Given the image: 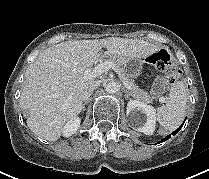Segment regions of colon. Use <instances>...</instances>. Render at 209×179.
<instances>
[{"mask_svg":"<svg viewBox=\"0 0 209 179\" xmlns=\"http://www.w3.org/2000/svg\"><path fill=\"white\" fill-rule=\"evenodd\" d=\"M147 61L153 65H155L160 70H165L170 66V57L166 51L160 50L158 52L153 53L147 58ZM181 76V70L176 67H170L168 76H167V84H174Z\"/></svg>","mask_w":209,"mask_h":179,"instance_id":"1","label":"colon"}]
</instances>
